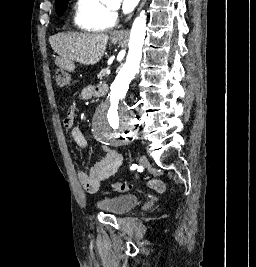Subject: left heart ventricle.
Segmentation results:
<instances>
[{"label":"left heart ventricle","mask_w":256,"mask_h":267,"mask_svg":"<svg viewBox=\"0 0 256 267\" xmlns=\"http://www.w3.org/2000/svg\"><path fill=\"white\" fill-rule=\"evenodd\" d=\"M113 26V22L112 21H107L101 24V30L103 31H109Z\"/></svg>","instance_id":"obj_1"}]
</instances>
